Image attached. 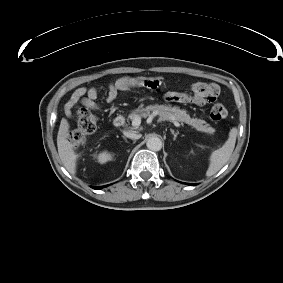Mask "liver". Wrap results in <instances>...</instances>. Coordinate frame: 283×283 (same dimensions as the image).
<instances>
[{
    "label": "liver",
    "instance_id": "6515ba94",
    "mask_svg": "<svg viewBox=\"0 0 283 283\" xmlns=\"http://www.w3.org/2000/svg\"><path fill=\"white\" fill-rule=\"evenodd\" d=\"M69 128L67 119L63 118L58 131L57 147L62 164L71 174H75L78 155L74 152V144L67 139Z\"/></svg>",
    "mask_w": 283,
    "mask_h": 283
}]
</instances>
